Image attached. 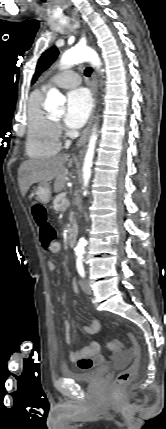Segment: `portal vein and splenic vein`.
<instances>
[{"label": "portal vein and splenic vein", "instance_id": "1", "mask_svg": "<svg viewBox=\"0 0 166 429\" xmlns=\"http://www.w3.org/2000/svg\"><path fill=\"white\" fill-rule=\"evenodd\" d=\"M63 202H64V203H66V202H68V200H67V199H65Z\"/></svg>", "mask_w": 166, "mask_h": 429}]
</instances>
